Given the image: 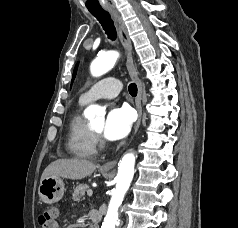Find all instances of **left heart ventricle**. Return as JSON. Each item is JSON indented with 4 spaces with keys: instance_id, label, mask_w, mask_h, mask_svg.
Returning a JSON list of instances; mask_svg holds the SVG:
<instances>
[{
    "instance_id": "left-heart-ventricle-1",
    "label": "left heart ventricle",
    "mask_w": 238,
    "mask_h": 228,
    "mask_svg": "<svg viewBox=\"0 0 238 228\" xmlns=\"http://www.w3.org/2000/svg\"><path fill=\"white\" fill-rule=\"evenodd\" d=\"M103 126H104L103 121H100V122L94 124L92 127H93L94 130H96V131L101 133L102 130H103Z\"/></svg>"
}]
</instances>
